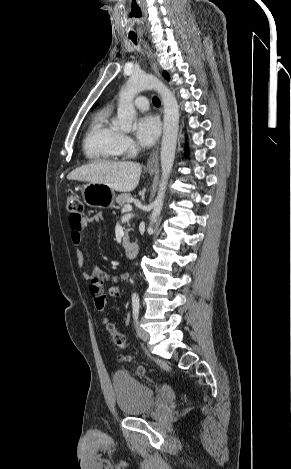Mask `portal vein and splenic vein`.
Masks as SVG:
<instances>
[{
	"label": "portal vein and splenic vein",
	"mask_w": 291,
	"mask_h": 469,
	"mask_svg": "<svg viewBox=\"0 0 291 469\" xmlns=\"http://www.w3.org/2000/svg\"><path fill=\"white\" fill-rule=\"evenodd\" d=\"M124 210H125V211H131V210H132V206H131L130 204H126V205L124 206Z\"/></svg>",
	"instance_id": "18ae733b"
}]
</instances>
